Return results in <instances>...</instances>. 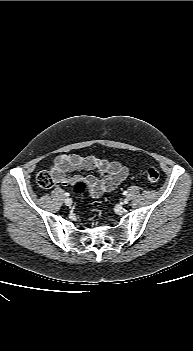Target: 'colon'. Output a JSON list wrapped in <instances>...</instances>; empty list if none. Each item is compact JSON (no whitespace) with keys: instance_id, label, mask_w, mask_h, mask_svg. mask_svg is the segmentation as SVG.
<instances>
[{"instance_id":"obj_1","label":"colon","mask_w":193,"mask_h":351,"mask_svg":"<svg viewBox=\"0 0 193 351\" xmlns=\"http://www.w3.org/2000/svg\"><path fill=\"white\" fill-rule=\"evenodd\" d=\"M160 174L157 168L149 167L146 170V178L150 182H157L159 180ZM36 183L42 189H50L54 186V179L52 176L46 172L41 171L36 174ZM72 190L75 195H80L87 190H89V185L83 180H78L73 183Z\"/></svg>"}]
</instances>
